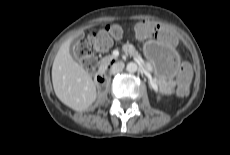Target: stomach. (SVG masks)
I'll return each mask as SVG.
<instances>
[{
  "mask_svg": "<svg viewBox=\"0 0 230 155\" xmlns=\"http://www.w3.org/2000/svg\"><path fill=\"white\" fill-rule=\"evenodd\" d=\"M143 53L153 66L154 75L160 87L172 80L179 67V55L175 48H164L159 41L143 46Z\"/></svg>",
  "mask_w": 230,
  "mask_h": 155,
  "instance_id": "0dacf381",
  "label": "stomach"
}]
</instances>
